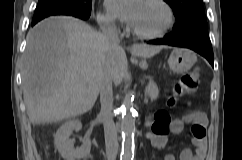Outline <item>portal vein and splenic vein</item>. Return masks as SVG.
<instances>
[{
  "label": "portal vein and splenic vein",
  "instance_id": "1",
  "mask_svg": "<svg viewBox=\"0 0 242 160\" xmlns=\"http://www.w3.org/2000/svg\"><path fill=\"white\" fill-rule=\"evenodd\" d=\"M145 96H147V95L145 94ZM145 102H147V98H145Z\"/></svg>",
  "mask_w": 242,
  "mask_h": 160
}]
</instances>
